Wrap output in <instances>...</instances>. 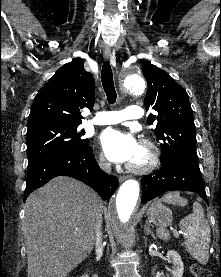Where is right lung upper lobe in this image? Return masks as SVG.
I'll use <instances>...</instances> for the list:
<instances>
[{"mask_svg": "<svg viewBox=\"0 0 221 277\" xmlns=\"http://www.w3.org/2000/svg\"><path fill=\"white\" fill-rule=\"evenodd\" d=\"M94 78L81 59L63 65L36 95L28 126L48 123L81 124L80 110L93 109Z\"/></svg>", "mask_w": 221, "mask_h": 277, "instance_id": "1", "label": "right lung upper lobe"}]
</instances>
